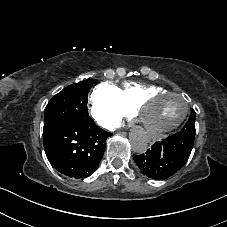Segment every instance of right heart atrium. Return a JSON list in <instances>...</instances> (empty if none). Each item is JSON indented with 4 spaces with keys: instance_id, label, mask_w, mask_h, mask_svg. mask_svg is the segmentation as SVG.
Wrapping results in <instances>:
<instances>
[{
    "instance_id": "1",
    "label": "right heart atrium",
    "mask_w": 227,
    "mask_h": 227,
    "mask_svg": "<svg viewBox=\"0 0 227 227\" xmlns=\"http://www.w3.org/2000/svg\"><path fill=\"white\" fill-rule=\"evenodd\" d=\"M91 114L96 122L106 128H117L129 110L121 99L120 89L111 82L97 85L91 95Z\"/></svg>"
}]
</instances>
